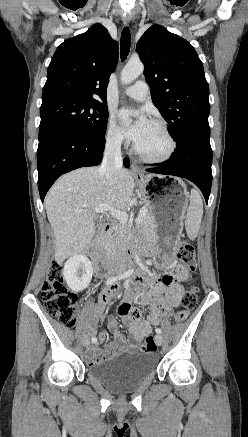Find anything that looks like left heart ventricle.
<instances>
[{"instance_id":"left-heart-ventricle-1","label":"left heart ventricle","mask_w":248,"mask_h":437,"mask_svg":"<svg viewBox=\"0 0 248 437\" xmlns=\"http://www.w3.org/2000/svg\"><path fill=\"white\" fill-rule=\"evenodd\" d=\"M135 145L143 154L153 158L163 156L169 148L165 134L153 123H150L143 137Z\"/></svg>"}]
</instances>
